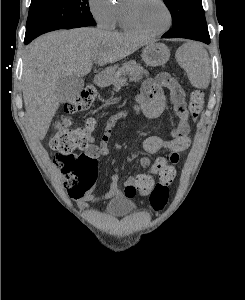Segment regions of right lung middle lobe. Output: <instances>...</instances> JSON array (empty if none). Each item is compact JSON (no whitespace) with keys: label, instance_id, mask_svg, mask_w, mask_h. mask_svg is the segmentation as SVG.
I'll return each mask as SVG.
<instances>
[{"label":"right lung middle lobe","instance_id":"obj_1","mask_svg":"<svg viewBox=\"0 0 245 300\" xmlns=\"http://www.w3.org/2000/svg\"><path fill=\"white\" fill-rule=\"evenodd\" d=\"M95 26L88 0H32L25 39L57 30Z\"/></svg>","mask_w":245,"mask_h":300}]
</instances>
